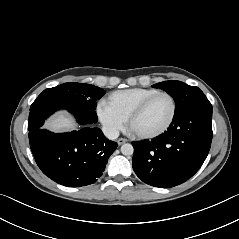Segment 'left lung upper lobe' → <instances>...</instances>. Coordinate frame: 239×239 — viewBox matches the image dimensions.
Returning a JSON list of instances; mask_svg holds the SVG:
<instances>
[{"label":"left lung upper lobe","mask_w":239,"mask_h":239,"mask_svg":"<svg viewBox=\"0 0 239 239\" xmlns=\"http://www.w3.org/2000/svg\"><path fill=\"white\" fill-rule=\"evenodd\" d=\"M153 87L166 91L174 98L176 103L174 116L190 108L210 104L204 93L198 87L189 86L181 81H164L153 85Z\"/></svg>","instance_id":"1"}]
</instances>
